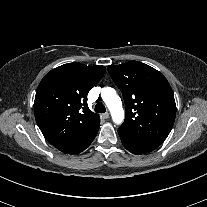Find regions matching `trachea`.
<instances>
[{
    "instance_id": "obj_1",
    "label": "trachea",
    "mask_w": 207,
    "mask_h": 207,
    "mask_svg": "<svg viewBox=\"0 0 207 207\" xmlns=\"http://www.w3.org/2000/svg\"><path fill=\"white\" fill-rule=\"evenodd\" d=\"M94 110L97 113H104L106 111V108H105V106L101 102H99V103H97L95 105V109Z\"/></svg>"
}]
</instances>
